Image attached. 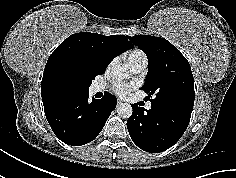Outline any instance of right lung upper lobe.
Instances as JSON below:
<instances>
[{"mask_svg":"<svg viewBox=\"0 0 236 178\" xmlns=\"http://www.w3.org/2000/svg\"><path fill=\"white\" fill-rule=\"evenodd\" d=\"M133 45L128 36H104L97 33H76L64 40L50 55L41 82L43 102L56 98L52 92V79L56 72L70 63H83L94 71L104 73L109 63Z\"/></svg>","mask_w":236,"mask_h":178,"instance_id":"obj_1","label":"right lung upper lobe"}]
</instances>
